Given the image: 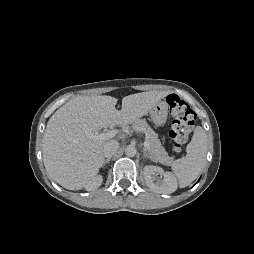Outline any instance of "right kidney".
Wrapping results in <instances>:
<instances>
[{"instance_id": "obj_1", "label": "right kidney", "mask_w": 254, "mask_h": 254, "mask_svg": "<svg viewBox=\"0 0 254 254\" xmlns=\"http://www.w3.org/2000/svg\"><path fill=\"white\" fill-rule=\"evenodd\" d=\"M103 178L102 176H97L94 181L87 187L88 190H93L98 188L102 184Z\"/></svg>"}]
</instances>
